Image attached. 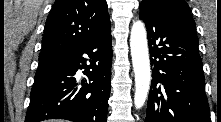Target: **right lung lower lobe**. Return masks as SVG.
<instances>
[{"label":"right lung lower lobe","instance_id":"1","mask_svg":"<svg viewBox=\"0 0 221 122\" xmlns=\"http://www.w3.org/2000/svg\"><path fill=\"white\" fill-rule=\"evenodd\" d=\"M111 62L109 30L72 51L39 63L25 122L53 118L107 122ZM78 69H85L88 81L76 79Z\"/></svg>","mask_w":221,"mask_h":122}]
</instances>
